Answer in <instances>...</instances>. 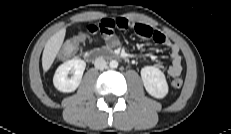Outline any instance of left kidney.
I'll use <instances>...</instances> for the list:
<instances>
[{
  "label": "left kidney",
  "mask_w": 231,
  "mask_h": 134,
  "mask_svg": "<svg viewBox=\"0 0 231 134\" xmlns=\"http://www.w3.org/2000/svg\"><path fill=\"white\" fill-rule=\"evenodd\" d=\"M141 78L146 91L153 97L161 99L168 93V84L164 73L154 66L141 69Z\"/></svg>",
  "instance_id": "5707ae66"
}]
</instances>
